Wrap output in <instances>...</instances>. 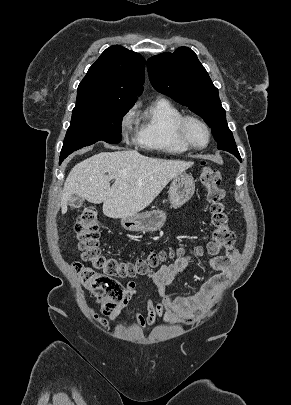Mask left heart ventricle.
Returning a JSON list of instances; mask_svg holds the SVG:
<instances>
[{
  "label": "left heart ventricle",
  "instance_id": "b2bd125f",
  "mask_svg": "<svg viewBox=\"0 0 291 405\" xmlns=\"http://www.w3.org/2000/svg\"><path fill=\"white\" fill-rule=\"evenodd\" d=\"M189 139L198 146H202L207 141L205 130L197 123H190L187 128Z\"/></svg>",
  "mask_w": 291,
  "mask_h": 405
}]
</instances>
